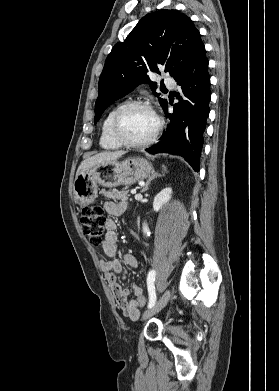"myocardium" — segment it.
Listing matches in <instances>:
<instances>
[{
	"mask_svg": "<svg viewBox=\"0 0 279 391\" xmlns=\"http://www.w3.org/2000/svg\"><path fill=\"white\" fill-rule=\"evenodd\" d=\"M134 107H145V108L149 109L154 114V116L157 120V125H156L154 132L152 133V135L149 138H147L143 141H131L123 135L122 130H121V120H122L124 114L129 109L134 108ZM162 127H163V121H162L161 117L159 116V114L154 109L153 105L149 101L131 100V101H128V102H125L124 104H122L115 112L113 119H112V123H111V134H112L113 138L123 146L130 147V148H142V147L149 146L157 139V137L159 136V134L162 130Z\"/></svg>",
	"mask_w": 279,
	"mask_h": 391,
	"instance_id": "f54148a6",
	"label": "myocardium"
}]
</instances>
